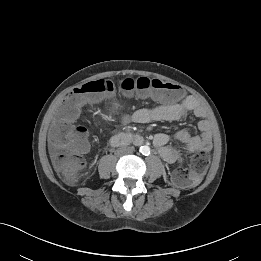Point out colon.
Wrapping results in <instances>:
<instances>
[{"mask_svg":"<svg viewBox=\"0 0 261 261\" xmlns=\"http://www.w3.org/2000/svg\"><path fill=\"white\" fill-rule=\"evenodd\" d=\"M123 92L137 91L142 98L159 102L176 101L181 97L179 86L160 79L139 77L125 78L115 85L108 79H97L79 85L64 101L58 111L60 121L51 132L52 140L64 149L54 159L55 167L69 183L76 181L85 162L82 155L89 148L87 132L82 127H73L70 121L78 114L82 102L100 93H111L115 87ZM210 162L206 152H199L191 158L189 167H177L171 172V179L176 186L189 187L198 182Z\"/></svg>","mask_w":261,"mask_h":261,"instance_id":"1","label":"colon"}]
</instances>
